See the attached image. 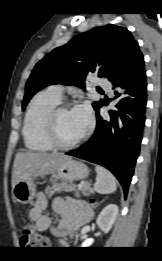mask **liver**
<instances>
[{"mask_svg": "<svg viewBox=\"0 0 162 261\" xmlns=\"http://www.w3.org/2000/svg\"><path fill=\"white\" fill-rule=\"evenodd\" d=\"M68 158L70 157L63 153H17L13 164L12 187L20 180L29 177L54 173L58 166Z\"/></svg>", "mask_w": 162, "mask_h": 261, "instance_id": "6515ba94", "label": "liver"}]
</instances>
